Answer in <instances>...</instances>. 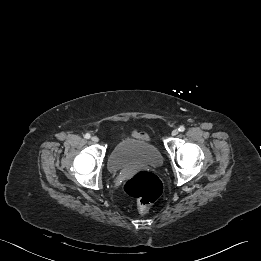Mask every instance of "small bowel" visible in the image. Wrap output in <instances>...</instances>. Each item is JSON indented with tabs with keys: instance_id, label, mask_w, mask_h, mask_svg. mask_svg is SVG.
Returning <instances> with one entry per match:
<instances>
[{
	"instance_id": "small-bowel-1",
	"label": "small bowel",
	"mask_w": 261,
	"mask_h": 261,
	"mask_svg": "<svg viewBox=\"0 0 261 261\" xmlns=\"http://www.w3.org/2000/svg\"><path fill=\"white\" fill-rule=\"evenodd\" d=\"M133 136L142 140H148V136L145 133L134 131Z\"/></svg>"
}]
</instances>
